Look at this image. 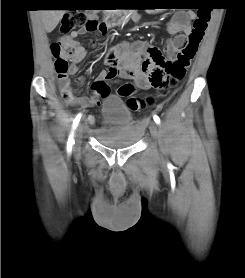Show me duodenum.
Segmentation results:
<instances>
[{
	"instance_id": "410a0bca",
	"label": "duodenum",
	"mask_w": 245,
	"mask_h": 278,
	"mask_svg": "<svg viewBox=\"0 0 245 278\" xmlns=\"http://www.w3.org/2000/svg\"><path fill=\"white\" fill-rule=\"evenodd\" d=\"M125 20V16H122L120 14H114V15H109L107 16L103 23L109 27V26H112V25H118L120 23H122L123 21Z\"/></svg>"
}]
</instances>
